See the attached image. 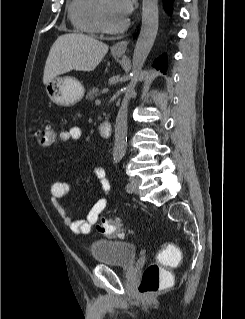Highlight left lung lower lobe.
Here are the masks:
<instances>
[{
    "mask_svg": "<svg viewBox=\"0 0 245 319\" xmlns=\"http://www.w3.org/2000/svg\"><path fill=\"white\" fill-rule=\"evenodd\" d=\"M164 5L168 7V10L170 12L171 3L173 0H163ZM154 66H156L158 69L165 70L166 69V56L162 55L158 59L154 61Z\"/></svg>",
    "mask_w": 245,
    "mask_h": 319,
    "instance_id": "obj_1",
    "label": "left lung lower lobe"
}]
</instances>
